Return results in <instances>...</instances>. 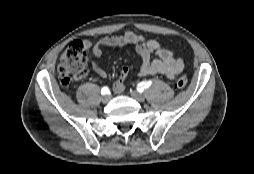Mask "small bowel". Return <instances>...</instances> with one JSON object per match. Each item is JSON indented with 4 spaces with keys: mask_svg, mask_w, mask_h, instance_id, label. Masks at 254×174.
Masks as SVG:
<instances>
[{
    "mask_svg": "<svg viewBox=\"0 0 254 174\" xmlns=\"http://www.w3.org/2000/svg\"><path fill=\"white\" fill-rule=\"evenodd\" d=\"M83 44L87 50L91 51L95 59L102 57L103 48L105 47L134 45L137 55L141 58L139 75L143 77L163 74L169 80H174L184 69V61L175 57L173 51L164 48L157 40L147 39L143 35L132 31L116 36H106L93 43L85 40ZM94 71L101 78H107L108 76L107 72L98 65L94 66ZM129 72V66L122 68L118 80L113 84L115 93L124 91L125 79Z\"/></svg>",
    "mask_w": 254,
    "mask_h": 174,
    "instance_id": "1",
    "label": "small bowel"
}]
</instances>
